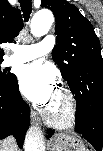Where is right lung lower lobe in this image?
<instances>
[{
  "label": "right lung lower lobe",
  "instance_id": "obj_1",
  "mask_svg": "<svg viewBox=\"0 0 103 151\" xmlns=\"http://www.w3.org/2000/svg\"><path fill=\"white\" fill-rule=\"evenodd\" d=\"M29 121L30 109L20 95L18 83L10 87L0 85V139L14 135L22 148Z\"/></svg>",
  "mask_w": 103,
  "mask_h": 151
}]
</instances>
